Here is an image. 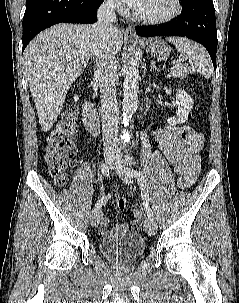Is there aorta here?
<instances>
[{
    "label": "aorta",
    "instance_id": "762f6f07",
    "mask_svg": "<svg viewBox=\"0 0 239 303\" xmlns=\"http://www.w3.org/2000/svg\"><path fill=\"white\" fill-rule=\"evenodd\" d=\"M138 65V59L131 58L128 61V66L126 68L122 101V118L124 125H128L138 108V89L140 80Z\"/></svg>",
    "mask_w": 239,
    "mask_h": 303
}]
</instances>
